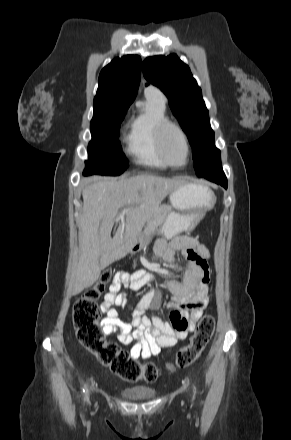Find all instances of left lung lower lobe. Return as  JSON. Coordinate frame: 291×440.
I'll use <instances>...</instances> for the list:
<instances>
[{
	"instance_id": "left-lung-lower-lobe-1",
	"label": "left lung lower lobe",
	"mask_w": 291,
	"mask_h": 440,
	"mask_svg": "<svg viewBox=\"0 0 291 440\" xmlns=\"http://www.w3.org/2000/svg\"><path fill=\"white\" fill-rule=\"evenodd\" d=\"M202 177L215 182L217 184H220L225 189H227V178L223 172V169L221 166L215 168L214 170L204 174Z\"/></svg>"
}]
</instances>
